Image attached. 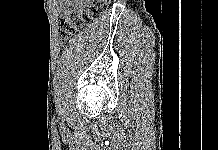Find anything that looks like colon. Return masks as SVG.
Wrapping results in <instances>:
<instances>
[{"mask_svg": "<svg viewBox=\"0 0 218 150\" xmlns=\"http://www.w3.org/2000/svg\"><path fill=\"white\" fill-rule=\"evenodd\" d=\"M111 0H93L85 10L72 11L59 22L58 37L61 44L71 38L83 25L97 20L107 12Z\"/></svg>", "mask_w": 218, "mask_h": 150, "instance_id": "colon-1", "label": "colon"}]
</instances>
